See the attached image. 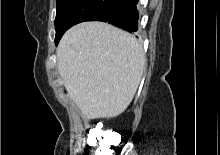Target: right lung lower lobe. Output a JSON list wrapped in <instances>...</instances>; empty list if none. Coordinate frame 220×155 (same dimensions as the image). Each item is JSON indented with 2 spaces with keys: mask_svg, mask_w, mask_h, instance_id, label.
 <instances>
[{
  "mask_svg": "<svg viewBox=\"0 0 220 155\" xmlns=\"http://www.w3.org/2000/svg\"><path fill=\"white\" fill-rule=\"evenodd\" d=\"M138 0H122L120 3L101 11L87 21H102L122 28L129 32L138 29V11L136 4Z\"/></svg>",
  "mask_w": 220,
  "mask_h": 155,
  "instance_id": "1",
  "label": "right lung lower lobe"
}]
</instances>
